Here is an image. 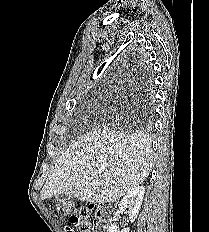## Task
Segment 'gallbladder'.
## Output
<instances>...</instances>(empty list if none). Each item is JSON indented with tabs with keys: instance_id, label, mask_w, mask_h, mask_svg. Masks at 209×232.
<instances>
[{
	"instance_id": "obj_1",
	"label": "gallbladder",
	"mask_w": 209,
	"mask_h": 232,
	"mask_svg": "<svg viewBox=\"0 0 209 232\" xmlns=\"http://www.w3.org/2000/svg\"><path fill=\"white\" fill-rule=\"evenodd\" d=\"M69 197L67 194H60L56 197L57 201L59 202H64L65 200H67Z\"/></svg>"
}]
</instances>
